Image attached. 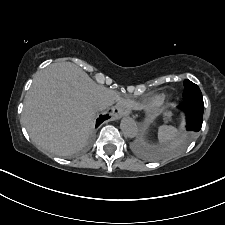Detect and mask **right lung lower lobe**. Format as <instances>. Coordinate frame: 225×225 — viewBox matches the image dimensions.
<instances>
[{
    "instance_id": "98d812e1",
    "label": "right lung lower lobe",
    "mask_w": 225,
    "mask_h": 225,
    "mask_svg": "<svg viewBox=\"0 0 225 225\" xmlns=\"http://www.w3.org/2000/svg\"><path fill=\"white\" fill-rule=\"evenodd\" d=\"M109 118L108 115H104V116H100V118L97 119V124H96V127L98 125H100L105 119Z\"/></svg>"
}]
</instances>
